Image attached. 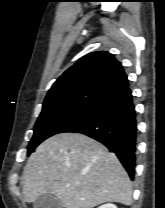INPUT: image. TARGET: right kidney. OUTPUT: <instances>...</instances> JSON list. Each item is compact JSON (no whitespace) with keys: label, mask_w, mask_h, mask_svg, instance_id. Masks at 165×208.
Here are the masks:
<instances>
[{"label":"right kidney","mask_w":165,"mask_h":208,"mask_svg":"<svg viewBox=\"0 0 165 208\" xmlns=\"http://www.w3.org/2000/svg\"><path fill=\"white\" fill-rule=\"evenodd\" d=\"M98 208H117V206L114 204H111V203H107V204H104Z\"/></svg>","instance_id":"1"}]
</instances>
